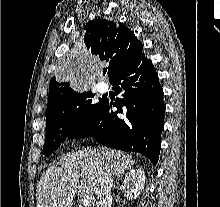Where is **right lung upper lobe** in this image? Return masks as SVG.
<instances>
[{
    "instance_id": "cb5924a9",
    "label": "right lung upper lobe",
    "mask_w": 220,
    "mask_h": 207,
    "mask_svg": "<svg viewBox=\"0 0 220 207\" xmlns=\"http://www.w3.org/2000/svg\"><path fill=\"white\" fill-rule=\"evenodd\" d=\"M85 29L84 44L90 55L108 63L110 81L128 61L142 52V43L121 23L94 19L86 24ZM74 93L76 91L70 82H61L53 77L49 84L45 114L50 113L62 100Z\"/></svg>"
}]
</instances>
